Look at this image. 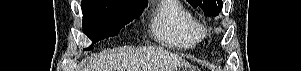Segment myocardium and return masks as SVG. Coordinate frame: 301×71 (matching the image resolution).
Instances as JSON below:
<instances>
[{
	"instance_id": "myocardium-1",
	"label": "myocardium",
	"mask_w": 301,
	"mask_h": 71,
	"mask_svg": "<svg viewBox=\"0 0 301 71\" xmlns=\"http://www.w3.org/2000/svg\"><path fill=\"white\" fill-rule=\"evenodd\" d=\"M198 32L201 38H205L208 35V30L205 26L198 24Z\"/></svg>"
}]
</instances>
